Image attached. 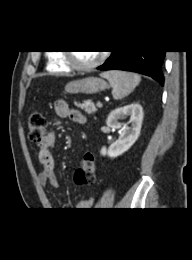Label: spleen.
I'll return each instance as SVG.
<instances>
[{
	"label": "spleen",
	"mask_w": 192,
	"mask_h": 260,
	"mask_svg": "<svg viewBox=\"0 0 192 260\" xmlns=\"http://www.w3.org/2000/svg\"><path fill=\"white\" fill-rule=\"evenodd\" d=\"M100 76L108 80L113 98L116 100L128 96L141 81L138 74L119 70L106 71Z\"/></svg>",
	"instance_id": "3e777b00"
}]
</instances>
